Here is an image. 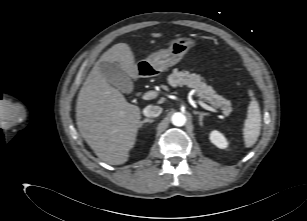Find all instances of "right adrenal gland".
<instances>
[{
	"label": "right adrenal gland",
	"mask_w": 307,
	"mask_h": 221,
	"mask_svg": "<svg viewBox=\"0 0 307 221\" xmlns=\"http://www.w3.org/2000/svg\"><path fill=\"white\" fill-rule=\"evenodd\" d=\"M147 122H149V123H153V122H154V120H153V119L146 118V119H144L143 121H141V122H140V127H142V126H143V124H144V123H147Z\"/></svg>",
	"instance_id": "1"
}]
</instances>
